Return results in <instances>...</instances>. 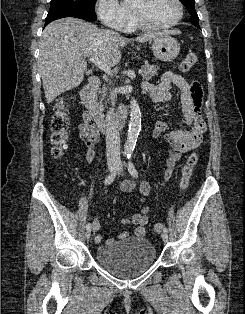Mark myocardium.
Segmentation results:
<instances>
[{
  "label": "myocardium",
  "instance_id": "1",
  "mask_svg": "<svg viewBox=\"0 0 245 314\" xmlns=\"http://www.w3.org/2000/svg\"><path fill=\"white\" fill-rule=\"evenodd\" d=\"M174 2L177 5L178 15L173 21L168 22V23L149 22V21L142 19L139 16V14L134 9L131 8L133 23L136 26H139V27H142L145 29H162V28H169V27L177 25L183 18L184 9H183V5H182L181 0H174Z\"/></svg>",
  "mask_w": 245,
  "mask_h": 314
}]
</instances>
